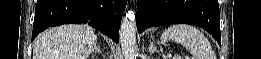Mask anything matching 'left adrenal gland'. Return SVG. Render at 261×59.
<instances>
[{
    "mask_svg": "<svg viewBox=\"0 0 261 59\" xmlns=\"http://www.w3.org/2000/svg\"><path fill=\"white\" fill-rule=\"evenodd\" d=\"M155 52H159V50H157V48L154 46V43L153 42H150V46H149V53L150 54H153Z\"/></svg>",
    "mask_w": 261,
    "mask_h": 59,
    "instance_id": "1",
    "label": "left adrenal gland"
}]
</instances>
